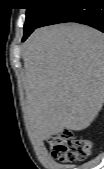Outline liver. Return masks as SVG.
I'll list each match as a JSON object with an SVG mask.
<instances>
[{
  "mask_svg": "<svg viewBox=\"0 0 104 169\" xmlns=\"http://www.w3.org/2000/svg\"><path fill=\"white\" fill-rule=\"evenodd\" d=\"M22 49L33 137L90 126L104 102V35L77 23L58 24L35 30Z\"/></svg>",
  "mask_w": 104,
  "mask_h": 169,
  "instance_id": "6515ba94",
  "label": "liver"
}]
</instances>
